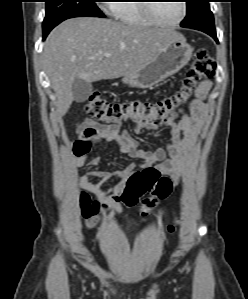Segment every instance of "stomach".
Returning <instances> with one entry per match:
<instances>
[{
	"mask_svg": "<svg viewBox=\"0 0 248 299\" xmlns=\"http://www.w3.org/2000/svg\"><path fill=\"white\" fill-rule=\"evenodd\" d=\"M193 48L185 39L169 42L157 55L139 71L125 75L124 84L141 89L150 88L174 75L191 59Z\"/></svg>",
	"mask_w": 248,
	"mask_h": 299,
	"instance_id": "stomach-1",
	"label": "stomach"
}]
</instances>
